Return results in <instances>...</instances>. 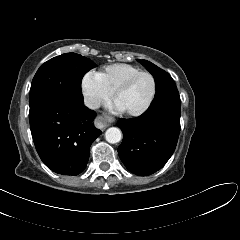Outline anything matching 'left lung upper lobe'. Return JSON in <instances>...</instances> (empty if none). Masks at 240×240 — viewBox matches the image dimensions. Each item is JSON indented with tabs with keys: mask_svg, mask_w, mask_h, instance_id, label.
I'll return each mask as SVG.
<instances>
[{
	"mask_svg": "<svg viewBox=\"0 0 240 240\" xmlns=\"http://www.w3.org/2000/svg\"><path fill=\"white\" fill-rule=\"evenodd\" d=\"M138 61L144 65L155 78L156 95L152 105L165 102L180 103L179 93L171 76L149 61Z\"/></svg>",
	"mask_w": 240,
	"mask_h": 240,
	"instance_id": "obj_1",
	"label": "left lung upper lobe"
}]
</instances>
